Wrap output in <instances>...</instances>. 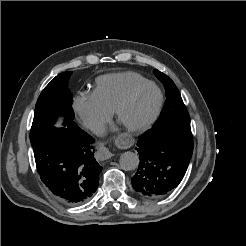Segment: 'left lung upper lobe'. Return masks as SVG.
<instances>
[{
    "mask_svg": "<svg viewBox=\"0 0 246 246\" xmlns=\"http://www.w3.org/2000/svg\"><path fill=\"white\" fill-rule=\"evenodd\" d=\"M154 74L165 86L166 102L158 120L151 129L168 126H190L188 111L174 82L157 69L154 70Z\"/></svg>",
    "mask_w": 246,
    "mask_h": 246,
    "instance_id": "obj_1",
    "label": "left lung upper lobe"
}]
</instances>
